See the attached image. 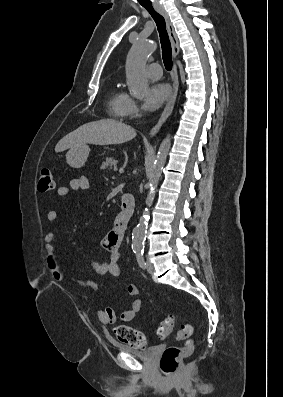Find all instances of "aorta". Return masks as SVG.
Masks as SVG:
<instances>
[{
    "instance_id": "obj_1",
    "label": "aorta",
    "mask_w": 283,
    "mask_h": 397,
    "mask_svg": "<svg viewBox=\"0 0 283 397\" xmlns=\"http://www.w3.org/2000/svg\"><path fill=\"white\" fill-rule=\"evenodd\" d=\"M155 44L149 41H139L131 47L126 60V81L129 91L136 98L142 99L148 92V80L145 66L148 57L155 50ZM171 147L170 135H167L160 144L155 157L153 170L149 180V191L146 197V208L132 232V249L140 251L144 247L147 225L149 221V207L153 204L156 188L158 186L166 157Z\"/></svg>"
}]
</instances>
